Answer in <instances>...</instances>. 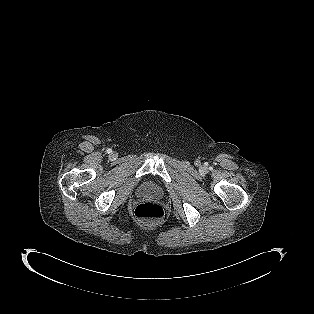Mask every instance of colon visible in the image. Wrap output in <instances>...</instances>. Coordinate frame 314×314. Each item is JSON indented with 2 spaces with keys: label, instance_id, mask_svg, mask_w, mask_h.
Here are the masks:
<instances>
[{
  "label": "colon",
  "instance_id": "5ec220e1",
  "mask_svg": "<svg viewBox=\"0 0 314 314\" xmlns=\"http://www.w3.org/2000/svg\"><path fill=\"white\" fill-rule=\"evenodd\" d=\"M134 215L141 221L154 223L162 220L165 213L160 204L153 201H144L135 207Z\"/></svg>",
  "mask_w": 314,
  "mask_h": 314
}]
</instances>
